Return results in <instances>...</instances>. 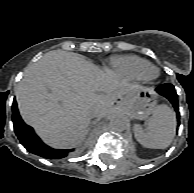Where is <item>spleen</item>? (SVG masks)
I'll return each instance as SVG.
<instances>
[{
	"label": "spleen",
	"instance_id": "obj_1",
	"mask_svg": "<svg viewBox=\"0 0 194 193\" xmlns=\"http://www.w3.org/2000/svg\"><path fill=\"white\" fill-rule=\"evenodd\" d=\"M176 117L166 105H157L147 121V131L141 125L134 126L136 140L144 147L151 149L167 148L175 135Z\"/></svg>",
	"mask_w": 194,
	"mask_h": 193
}]
</instances>
